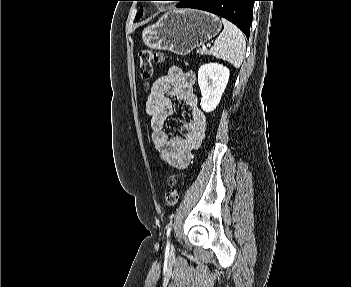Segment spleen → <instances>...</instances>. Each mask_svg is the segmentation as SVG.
Returning a JSON list of instances; mask_svg holds the SVG:
<instances>
[{"label": "spleen", "mask_w": 351, "mask_h": 287, "mask_svg": "<svg viewBox=\"0 0 351 287\" xmlns=\"http://www.w3.org/2000/svg\"><path fill=\"white\" fill-rule=\"evenodd\" d=\"M224 29L215 40L210 53L216 58L223 59L235 68H239L243 62L246 41L240 29L226 19H222Z\"/></svg>", "instance_id": "3e777b00"}]
</instances>
